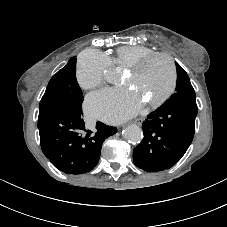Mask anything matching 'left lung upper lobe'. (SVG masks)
<instances>
[{"mask_svg": "<svg viewBox=\"0 0 227 227\" xmlns=\"http://www.w3.org/2000/svg\"><path fill=\"white\" fill-rule=\"evenodd\" d=\"M176 65H177V72H178L176 91L164 104L172 103L176 101L196 104L195 92L190 83V79L187 73L179 64H176Z\"/></svg>", "mask_w": 227, "mask_h": 227, "instance_id": "1", "label": "left lung upper lobe"}]
</instances>
